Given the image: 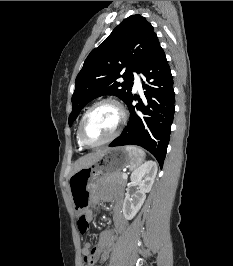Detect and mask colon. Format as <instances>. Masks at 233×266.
Returning <instances> with one entry per match:
<instances>
[{
  "label": "colon",
  "instance_id": "obj_1",
  "mask_svg": "<svg viewBox=\"0 0 233 266\" xmlns=\"http://www.w3.org/2000/svg\"><path fill=\"white\" fill-rule=\"evenodd\" d=\"M89 223L85 215H81L78 219V229L81 233H85L88 230ZM91 257H86V263H90Z\"/></svg>",
  "mask_w": 233,
  "mask_h": 266
}]
</instances>
